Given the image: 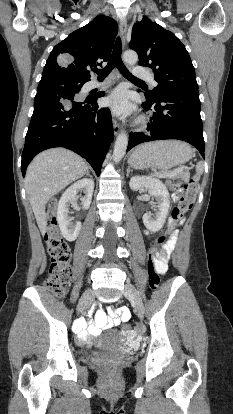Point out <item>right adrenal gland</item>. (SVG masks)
I'll list each match as a JSON object with an SVG mask.
<instances>
[{
	"instance_id": "1",
	"label": "right adrenal gland",
	"mask_w": 233,
	"mask_h": 414,
	"mask_svg": "<svg viewBox=\"0 0 233 414\" xmlns=\"http://www.w3.org/2000/svg\"><path fill=\"white\" fill-rule=\"evenodd\" d=\"M86 176H89L90 178H92V177L90 176V174H89V171L86 173Z\"/></svg>"
}]
</instances>
